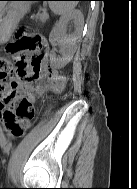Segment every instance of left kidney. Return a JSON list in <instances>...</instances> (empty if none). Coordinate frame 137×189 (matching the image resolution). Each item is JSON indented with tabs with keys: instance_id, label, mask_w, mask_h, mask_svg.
Here are the masks:
<instances>
[{
	"instance_id": "5707ae66",
	"label": "left kidney",
	"mask_w": 137,
	"mask_h": 189,
	"mask_svg": "<svg viewBox=\"0 0 137 189\" xmlns=\"http://www.w3.org/2000/svg\"><path fill=\"white\" fill-rule=\"evenodd\" d=\"M81 18V13L79 11L73 10V8H68L62 13L59 22L56 23L50 34L51 42L54 44V42L57 41L58 45L60 46L62 57H56L54 54H51V63L62 67L72 59L73 53L68 49L67 45L69 44V39L64 35V30L69 20L75 19V21H78Z\"/></svg>"
}]
</instances>
